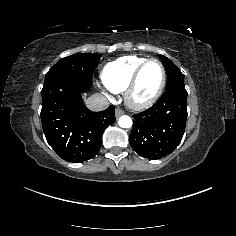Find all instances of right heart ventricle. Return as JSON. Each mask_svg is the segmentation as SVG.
Masks as SVG:
<instances>
[{
    "mask_svg": "<svg viewBox=\"0 0 236 236\" xmlns=\"http://www.w3.org/2000/svg\"><path fill=\"white\" fill-rule=\"evenodd\" d=\"M147 58L137 55L119 57L107 63L101 70L103 86L112 93H122L136 68Z\"/></svg>",
    "mask_w": 236,
    "mask_h": 236,
    "instance_id": "e07e8e85",
    "label": "right heart ventricle"
}]
</instances>
